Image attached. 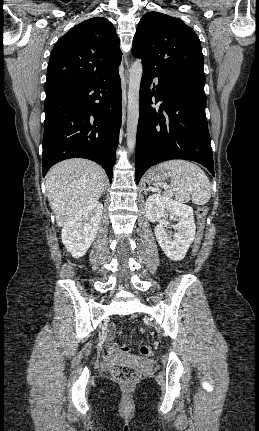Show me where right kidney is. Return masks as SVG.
Here are the masks:
<instances>
[{"label": "right kidney", "mask_w": 259, "mask_h": 431, "mask_svg": "<svg viewBox=\"0 0 259 431\" xmlns=\"http://www.w3.org/2000/svg\"><path fill=\"white\" fill-rule=\"evenodd\" d=\"M103 212L101 202H94L78 211L62 230V242L74 257L83 256L91 246Z\"/></svg>", "instance_id": "ca27d5eb"}]
</instances>
